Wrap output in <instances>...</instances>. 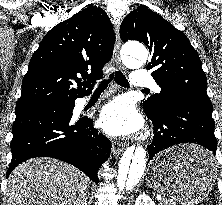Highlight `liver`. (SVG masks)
<instances>
[{
    "label": "liver",
    "instance_id": "obj_1",
    "mask_svg": "<svg viewBox=\"0 0 222 205\" xmlns=\"http://www.w3.org/2000/svg\"><path fill=\"white\" fill-rule=\"evenodd\" d=\"M87 187L88 178L74 166L35 158L10 174L5 205H83Z\"/></svg>",
    "mask_w": 222,
    "mask_h": 205
}]
</instances>
